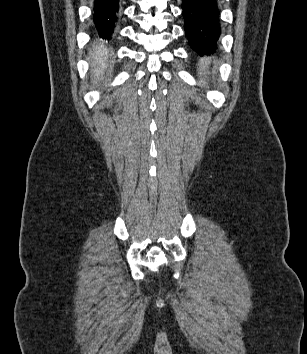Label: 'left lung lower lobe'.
Here are the masks:
<instances>
[{"label": "left lung lower lobe", "mask_w": 307, "mask_h": 354, "mask_svg": "<svg viewBox=\"0 0 307 354\" xmlns=\"http://www.w3.org/2000/svg\"><path fill=\"white\" fill-rule=\"evenodd\" d=\"M181 7L190 46L200 55L214 51L221 33L218 0H182Z\"/></svg>", "instance_id": "1"}]
</instances>
